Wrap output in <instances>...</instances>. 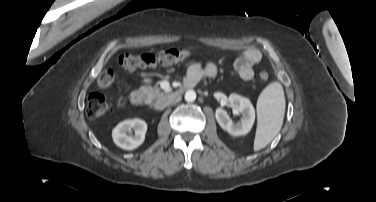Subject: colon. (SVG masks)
<instances>
[{"label": "colon", "mask_w": 376, "mask_h": 202, "mask_svg": "<svg viewBox=\"0 0 376 202\" xmlns=\"http://www.w3.org/2000/svg\"><path fill=\"white\" fill-rule=\"evenodd\" d=\"M193 52L189 46L182 45L178 47L162 50L158 53H147L142 55L123 54L119 58V65L125 71H134L138 68H152L157 65H171L185 60L192 56ZM259 79L266 82L269 79V72L261 67L258 73ZM114 80L113 72L110 70L102 72L97 84L100 89L109 88ZM123 99L118 100V105L123 104ZM110 103L100 93H92L87 100L86 114L89 118L99 117L110 110Z\"/></svg>", "instance_id": "obj_1"}]
</instances>
